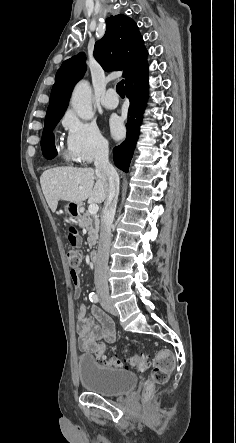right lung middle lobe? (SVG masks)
I'll return each mask as SVG.
<instances>
[{
	"instance_id": "right-lung-middle-lobe-1",
	"label": "right lung middle lobe",
	"mask_w": 236,
	"mask_h": 443,
	"mask_svg": "<svg viewBox=\"0 0 236 443\" xmlns=\"http://www.w3.org/2000/svg\"><path fill=\"white\" fill-rule=\"evenodd\" d=\"M62 116L63 114H59L45 120L42 139H41L42 151H46L50 148L55 147L53 130Z\"/></svg>"
}]
</instances>
